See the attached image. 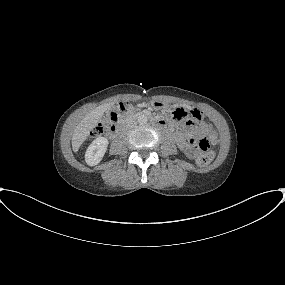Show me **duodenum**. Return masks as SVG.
<instances>
[{
	"instance_id": "obj_1",
	"label": "duodenum",
	"mask_w": 285,
	"mask_h": 285,
	"mask_svg": "<svg viewBox=\"0 0 285 285\" xmlns=\"http://www.w3.org/2000/svg\"><path fill=\"white\" fill-rule=\"evenodd\" d=\"M155 120V122L156 123H158L159 125H164L165 123H166V121L164 120V119H162V118H156V119H154ZM109 128H110V131L112 132V133H116L119 129H120V124H110L109 125Z\"/></svg>"
}]
</instances>
